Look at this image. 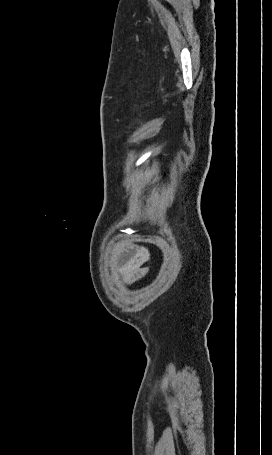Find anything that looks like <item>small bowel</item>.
<instances>
[{"instance_id":"c3829d8e","label":"small bowel","mask_w":272,"mask_h":455,"mask_svg":"<svg viewBox=\"0 0 272 455\" xmlns=\"http://www.w3.org/2000/svg\"><path fill=\"white\" fill-rule=\"evenodd\" d=\"M149 256V250L144 246L131 249L118 268V278L127 284H131L144 277L148 268L143 266L148 261Z\"/></svg>"}]
</instances>
